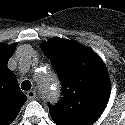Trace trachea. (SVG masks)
<instances>
[{
    "label": "trachea",
    "instance_id": "1",
    "mask_svg": "<svg viewBox=\"0 0 125 125\" xmlns=\"http://www.w3.org/2000/svg\"><path fill=\"white\" fill-rule=\"evenodd\" d=\"M31 82L29 81V80H25V81H23L22 82V84H21V88H22V90H25V91H28V90H30L31 89Z\"/></svg>",
    "mask_w": 125,
    "mask_h": 125
}]
</instances>
